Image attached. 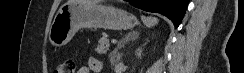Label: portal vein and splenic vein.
Listing matches in <instances>:
<instances>
[{
	"instance_id": "18ae733b",
	"label": "portal vein and splenic vein",
	"mask_w": 244,
	"mask_h": 73,
	"mask_svg": "<svg viewBox=\"0 0 244 73\" xmlns=\"http://www.w3.org/2000/svg\"><path fill=\"white\" fill-rule=\"evenodd\" d=\"M111 43L115 44V43H117V40L112 39V40H111Z\"/></svg>"
}]
</instances>
